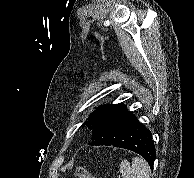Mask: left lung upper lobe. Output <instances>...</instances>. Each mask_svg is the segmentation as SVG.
<instances>
[{"instance_id": "obj_1", "label": "left lung upper lobe", "mask_w": 194, "mask_h": 178, "mask_svg": "<svg viewBox=\"0 0 194 178\" xmlns=\"http://www.w3.org/2000/svg\"><path fill=\"white\" fill-rule=\"evenodd\" d=\"M117 105L116 104H108L99 106L90 116L88 119L83 123V125H86L90 130H93V128L97 125L99 120L105 116L108 112H110L112 109H114Z\"/></svg>"}]
</instances>
